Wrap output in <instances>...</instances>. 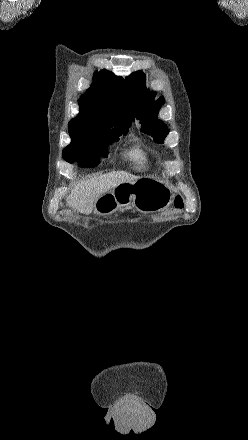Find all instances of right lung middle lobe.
Instances as JSON below:
<instances>
[{"instance_id": "obj_1", "label": "right lung middle lobe", "mask_w": 248, "mask_h": 440, "mask_svg": "<svg viewBox=\"0 0 248 440\" xmlns=\"http://www.w3.org/2000/svg\"><path fill=\"white\" fill-rule=\"evenodd\" d=\"M127 132L128 130H123L113 134L88 136L77 146L64 149L63 158L69 163L79 162L82 167H94L99 164L100 157H108L107 145L118 141Z\"/></svg>"}]
</instances>
